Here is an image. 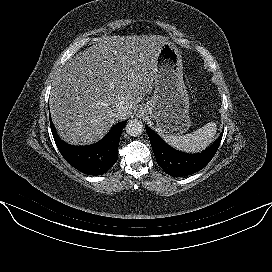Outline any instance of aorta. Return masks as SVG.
I'll return each instance as SVG.
<instances>
[{"instance_id": "obj_1", "label": "aorta", "mask_w": 272, "mask_h": 272, "mask_svg": "<svg viewBox=\"0 0 272 272\" xmlns=\"http://www.w3.org/2000/svg\"><path fill=\"white\" fill-rule=\"evenodd\" d=\"M126 132L128 135L132 136V137H137L139 135L142 134L144 127H143V123L137 119H133L128 121V123L126 124Z\"/></svg>"}]
</instances>
